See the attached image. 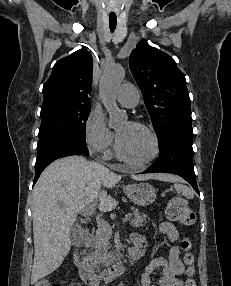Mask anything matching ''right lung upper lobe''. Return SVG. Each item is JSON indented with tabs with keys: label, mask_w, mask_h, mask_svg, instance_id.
<instances>
[{
	"label": "right lung upper lobe",
	"mask_w": 231,
	"mask_h": 286,
	"mask_svg": "<svg viewBox=\"0 0 231 286\" xmlns=\"http://www.w3.org/2000/svg\"><path fill=\"white\" fill-rule=\"evenodd\" d=\"M93 60L80 49L55 63L43 87V105L74 103L90 105Z\"/></svg>",
	"instance_id": "1"
}]
</instances>
